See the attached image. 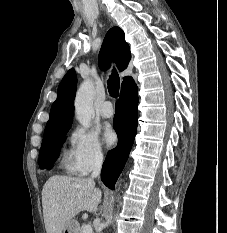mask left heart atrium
Returning <instances> with one entry per match:
<instances>
[{
  "instance_id": "39dd6f15",
  "label": "left heart atrium",
  "mask_w": 227,
  "mask_h": 233,
  "mask_svg": "<svg viewBox=\"0 0 227 233\" xmlns=\"http://www.w3.org/2000/svg\"><path fill=\"white\" fill-rule=\"evenodd\" d=\"M116 134L111 128H107L104 132V141L107 146H112L116 142Z\"/></svg>"
}]
</instances>
